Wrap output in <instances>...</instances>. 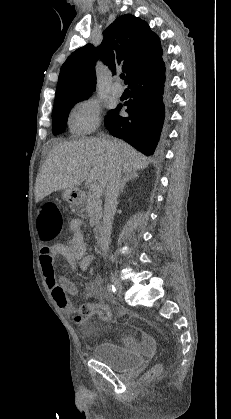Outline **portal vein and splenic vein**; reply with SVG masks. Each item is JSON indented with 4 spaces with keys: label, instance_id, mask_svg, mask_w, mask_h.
I'll use <instances>...</instances> for the list:
<instances>
[{
    "label": "portal vein and splenic vein",
    "instance_id": "obj_1",
    "mask_svg": "<svg viewBox=\"0 0 231 419\" xmlns=\"http://www.w3.org/2000/svg\"><path fill=\"white\" fill-rule=\"evenodd\" d=\"M103 188L99 184H94L92 186V195L95 197H100L102 195Z\"/></svg>",
    "mask_w": 231,
    "mask_h": 419
}]
</instances>
